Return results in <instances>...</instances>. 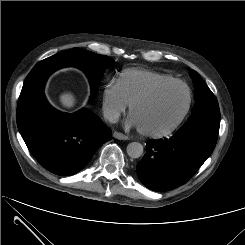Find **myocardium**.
<instances>
[{"mask_svg": "<svg viewBox=\"0 0 245 245\" xmlns=\"http://www.w3.org/2000/svg\"><path fill=\"white\" fill-rule=\"evenodd\" d=\"M181 85L183 86L186 91H187V104L186 107L184 109V111L182 112V114L179 116V118L177 119V121L171 125L169 128L162 130V131H158V132H149L143 129L139 128V132L145 136V137H149V138H153V139H160V138H164L167 136H170L171 134H173L180 126L181 124L184 122V120L186 119L187 115L190 112L191 106H192V102H193V94L191 91V88L188 86L187 83L178 80V79H172V80H168L162 83H159L157 85H155L154 87H152L151 89H149L147 92L143 93L142 95L136 97L129 106V112L130 114H132L133 109L143 103L146 102L148 100H150L151 98H153L157 93H159L162 89L171 86V85Z\"/></svg>", "mask_w": 245, "mask_h": 245, "instance_id": "1", "label": "myocardium"}]
</instances>
